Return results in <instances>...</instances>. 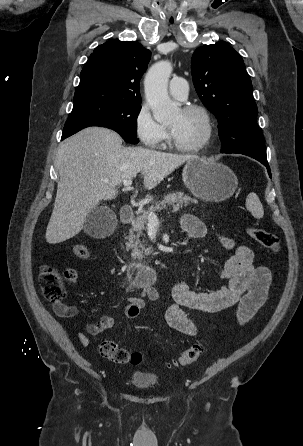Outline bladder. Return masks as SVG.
I'll use <instances>...</instances> for the list:
<instances>
[{
    "label": "bladder",
    "mask_w": 303,
    "mask_h": 446,
    "mask_svg": "<svg viewBox=\"0 0 303 446\" xmlns=\"http://www.w3.org/2000/svg\"><path fill=\"white\" fill-rule=\"evenodd\" d=\"M131 384L139 389H155L160 387V380L152 375L136 372L131 376Z\"/></svg>",
    "instance_id": "1"
}]
</instances>
